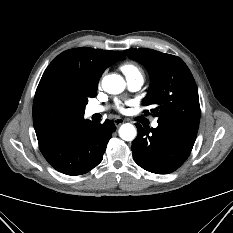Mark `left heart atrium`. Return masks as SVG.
Masks as SVG:
<instances>
[{
  "label": "left heart atrium",
  "mask_w": 233,
  "mask_h": 233,
  "mask_svg": "<svg viewBox=\"0 0 233 233\" xmlns=\"http://www.w3.org/2000/svg\"><path fill=\"white\" fill-rule=\"evenodd\" d=\"M118 109H119L120 111H123V110H124V108H123L122 105H119V106H118Z\"/></svg>",
  "instance_id": "1"
}]
</instances>
